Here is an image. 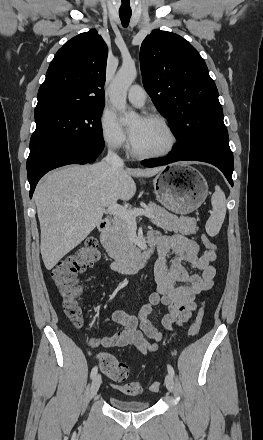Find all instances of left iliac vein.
<instances>
[{
    "label": "left iliac vein",
    "mask_w": 263,
    "mask_h": 440,
    "mask_svg": "<svg viewBox=\"0 0 263 440\" xmlns=\"http://www.w3.org/2000/svg\"><path fill=\"white\" fill-rule=\"evenodd\" d=\"M165 385L170 392H172L174 390L175 383H174V379H173L172 375L167 374L165 376Z\"/></svg>",
    "instance_id": "left-iliac-vein-1"
}]
</instances>
